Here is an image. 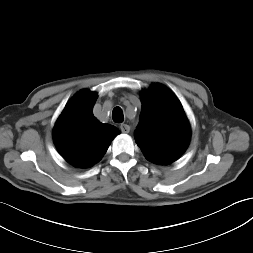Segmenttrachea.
Returning <instances> with one entry per match:
<instances>
[{"label": "trachea", "mask_w": 253, "mask_h": 253, "mask_svg": "<svg viewBox=\"0 0 253 253\" xmlns=\"http://www.w3.org/2000/svg\"><path fill=\"white\" fill-rule=\"evenodd\" d=\"M112 119L115 123H122L124 121V115L120 107H115L113 109Z\"/></svg>", "instance_id": "obj_1"}]
</instances>
